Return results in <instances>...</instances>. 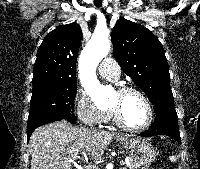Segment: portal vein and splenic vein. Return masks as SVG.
Segmentation results:
<instances>
[{
	"instance_id": "portal-vein-and-splenic-vein-1",
	"label": "portal vein and splenic vein",
	"mask_w": 200,
	"mask_h": 169,
	"mask_svg": "<svg viewBox=\"0 0 200 169\" xmlns=\"http://www.w3.org/2000/svg\"><path fill=\"white\" fill-rule=\"evenodd\" d=\"M71 162H73V160H71ZM125 162H128V160H126ZM125 162H124V161H121L120 164H121V165H124Z\"/></svg>"
}]
</instances>
